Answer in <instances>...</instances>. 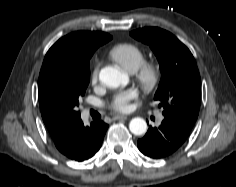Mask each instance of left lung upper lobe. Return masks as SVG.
<instances>
[{
	"mask_svg": "<svg viewBox=\"0 0 236 187\" xmlns=\"http://www.w3.org/2000/svg\"><path fill=\"white\" fill-rule=\"evenodd\" d=\"M150 46L161 71L154 96L163 107V115L192 129L200 108L201 80L190 50L173 34L157 27H145L130 33Z\"/></svg>",
	"mask_w": 236,
	"mask_h": 187,
	"instance_id": "5c2ea615",
	"label": "left lung upper lobe"
}]
</instances>
